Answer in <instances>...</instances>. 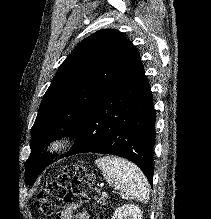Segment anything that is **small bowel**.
Listing matches in <instances>:
<instances>
[{"label":"small bowel","mask_w":211,"mask_h":219,"mask_svg":"<svg viewBox=\"0 0 211 219\" xmlns=\"http://www.w3.org/2000/svg\"><path fill=\"white\" fill-rule=\"evenodd\" d=\"M56 219H87L85 214H76L74 206L64 207L56 216Z\"/></svg>","instance_id":"c3829d8e"}]
</instances>
